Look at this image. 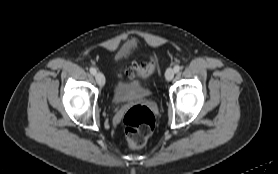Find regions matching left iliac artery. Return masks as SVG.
I'll return each instance as SVG.
<instances>
[{
    "instance_id": "obj_1",
    "label": "left iliac artery",
    "mask_w": 278,
    "mask_h": 174,
    "mask_svg": "<svg viewBox=\"0 0 278 174\" xmlns=\"http://www.w3.org/2000/svg\"><path fill=\"white\" fill-rule=\"evenodd\" d=\"M180 69H181V67H180L179 65H176V66L174 67V72H175V73H178V72L180 71Z\"/></svg>"
}]
</instances>
